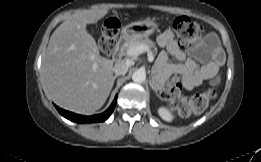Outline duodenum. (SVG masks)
<instances>
[{"label":"duodenum","mask_w":261,"mask_h":162,"mask_svg":"<svg viewBox=\"0 0 261 162\" xmlns=\"http://www.w3.org/2000/svg\"><path fill=\"white\" fill-rule=\"evenodd\" d=\"M126 42H127V37L124 36V35L121 36V37L118 39V41H117V44H116L117 48H118V49L122 48Z\"/></svg>","instance_id":"1"}]
</instances>
